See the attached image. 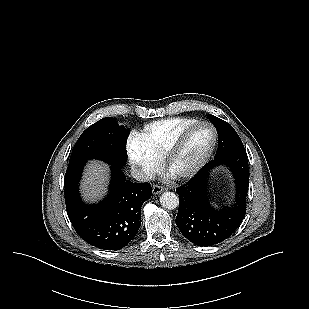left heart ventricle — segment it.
Here are the masks:
<instances>
[{"instance_id": "obj_1", "label": "left heart ventricle", "mask_w": 309, "mask_h": 309, "mask_svg": "<svg viewBox=\"0 0 309 309\" xmlns=\"http://www.w3.org/2000/svg\"><path fill=\"white\" fill-rule=\"evenodd\" d=\"M212 142V132L207 126H199L192 132L186 146L174 160L172 170L188 168L198 161Z\"/></svg>"}]
</instances>
